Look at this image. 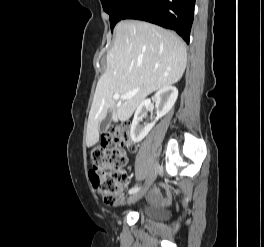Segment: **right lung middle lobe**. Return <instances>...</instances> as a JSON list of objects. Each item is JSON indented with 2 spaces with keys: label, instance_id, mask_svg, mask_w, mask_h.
Masks as SVG:
<instances>
[{
  "label": "right lung middle lobe",
  "instance_id": "1",
  "mask_svg": "<svg viewBox=\"0 0 264 247\" xmlns=\"http://www.w3.org/2000/svg\"><path fill=\"white\" fill-rule=\"evenodd\" d=\"M133 0H101L103 9L110 16V27L119 22Z\"/></svg>",
  "mask_w": 264,
  "mask_h": 247
}]
</instances>
